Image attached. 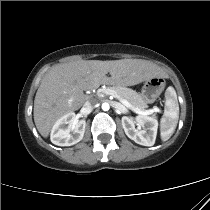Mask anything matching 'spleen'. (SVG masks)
Segmentation results:
<instances>
[{
  "label": "spleen",
  "mask_w": 210,
  "mask_h": 210,
  "mask_svg": "<svg viewBox=\"0 0 210 210\" xmlns=\"http://www.w3.org/2000/svg\"><path fill=\"white\" fill-rule=\"evenodd\" d=\"M165 98L164 114L160 120V135L163 141H167L173 135L179 118L177 94L173 87L167 88Z\"/></svg>",
  "instance_id": "spleen-1"
}]
</instances>
